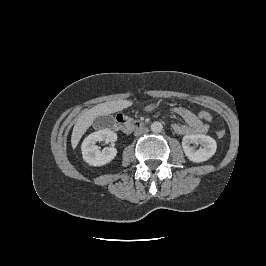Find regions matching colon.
<instances>
[{"mask_svg":"<svg viewBox=\"0 0 266 266\" xmlns=\"http://www.w3.org/2000/svg\"><path fill=\"white\" fill-rule=\"evenodd\" d=\"M197 117L201 120V121H211L212 120V115L206 111V110H201L197 113ZM217 136L219 138H222L225 136V130H218L216 132Z\"/></svg>","mask_w":266,"mask_h":266,"instance_id":"colon-1","label":"colon"}]
</instances>
